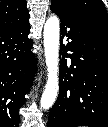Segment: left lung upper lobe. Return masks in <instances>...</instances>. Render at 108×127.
Masks as SVG:
<instances>
[{
  "instance_id": "left-lung-upper-lobe-1",
  "label": "left lung upper lobe",
  "mask_w": 108,
  "mask_h": 127,
  "mask_svg": "<svg viewBox=\"0 0 108 127\" xmlns=\"http://www.w3.org/2000/svg\"><path fill=\"white\" fill-rule=\"evenodd\" d=\"M60 1H65L69 5L73 6L75 10L81 12L82 14L96 17L108 25V14L102 0H60Z\"/></svg>"
}]
</instances>
